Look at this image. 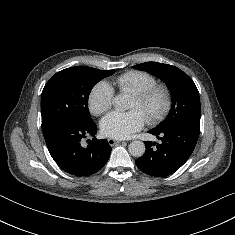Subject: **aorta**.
Returning a JSON list of instances; mask_svg holds the SVG:
<instances>
[{"label":"aorta","mask_w":235,"mask_h":235,"mask_svg":"<svg viewBox=\"0 0 235 235\" xmlns=\"http://www.w3.org/2000/svg\"><path fill=\"white\" fill-rule=\"evenodd\" d=\"M113 104L117 109L120 110L126 109L127 98L124 95H118L114 98ZM128 150L132 156L141 157L144 155L146 147L142 141L134 140L129 144Z\"/></svg>","instance_id":"1"}]
</instances>
